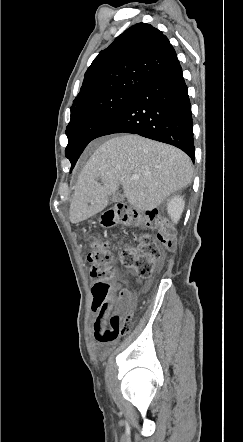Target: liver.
Returning <instances> with one entry per match:
<instances>
[{
	"label": "liver",
	"mask_w": 243,
	"mask_h": 442,
	"mask_svg": "<svg viewBox=\"0 0 243 442\" xmlns=\"http://www.w3.org/2000/svg\"><path fill=\"white\" fill-rule=\"evenodd\" d=\"M193 172L190 158L176 147L138 135L113 137L96 149L79 174L70 221L76 224L104 210L119 185L130 205L152 210L187 187ZM133 174L139 178L133 180Z\"/></svg>",
	"instance_id": "liver-1"
}]
</instances>
